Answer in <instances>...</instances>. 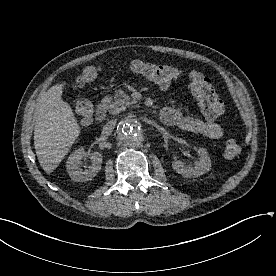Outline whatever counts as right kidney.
<instances>
[{
    "mask_svg": "<svg viewBox=\"0 0 276 276\" xmlns=\"http://www.w3.org/2000/svg\"><path fill=\"white\" fill-rule=\"evenodd\" d=\"M87 153L84 148H78L75 150L67 160V172L72 180L77 182H86L94 178L102 164V155L99 152H93L89 155L91 159V165L83 170L81 168V160L86 157Z\"/></svg>",
    "mask_w": 276,
    "mask_h": 276,
    "instance_id": "obj_1",
    "label": "right kidney"
}]
</instances>
